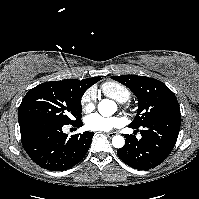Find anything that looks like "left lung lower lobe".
I'll list each match as a JSON object with an SVG mask.
<instances>
[{"label": "left lung lower lobe", "mask_w": 199, "mask_h": 199, "mask_svg": "<svg viewBox=\"0 0 199 199\" xmlns=\"http://www.w3.org/2000/svg\"><path fill=\"white\" fill-rule=\"evenodd\" d=\"M180 124L181 114H171L155 119L141 127L140 140L135 135L125 134L126 143L118 149L117 155L134 169L154 168L167 158L175 146Z\"/></svg>", "instance_id": "0a47b994"}]
</instances>
